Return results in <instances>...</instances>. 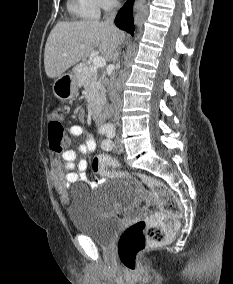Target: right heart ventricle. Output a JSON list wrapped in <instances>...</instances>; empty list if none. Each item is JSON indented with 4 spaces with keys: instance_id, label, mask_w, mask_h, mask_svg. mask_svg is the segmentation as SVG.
Returning a JSON list of instances; mask_svg holds the SVG:
<instances>
[{
    "instance_id": "right-heart-ventricle-1",
    "label": "right heart ventricle",
    "mask_w": 233,
    "mask_h": 284,
    "mask_svg": "<svg viewBox=\"0 0 233 284\" xmlns=\"http://www.w3.org/2000/svg\"><path fill=\"white\" fill-rule=\"evenodd\" d=\"M69 9L76 16L86 20H95L100 16V8L95 0H70Z\"/></svg>"
}]
</instances>
